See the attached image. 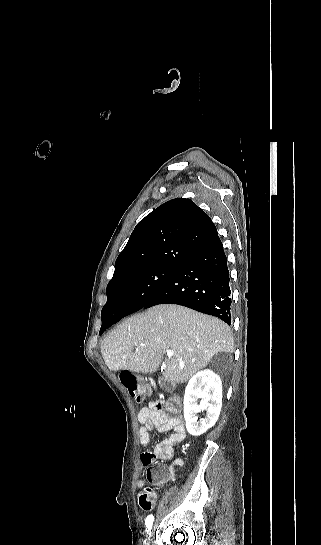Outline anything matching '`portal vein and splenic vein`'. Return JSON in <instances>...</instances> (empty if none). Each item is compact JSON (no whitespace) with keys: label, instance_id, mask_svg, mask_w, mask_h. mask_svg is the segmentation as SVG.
Here are the masks:
<instances>
[{"label":"portal vein and splenic vein","instance_id":"portal-vein-and-splenic-vein-1","mask_svg":"<svg viewBox=\"0 0 321 545\" xmlns=\"http://www.w3.org/2000/svg\"><path fill=\"white\" fill-rule=\"evenodd\" d=\"M167 353V357H169V359H171V357H173V351H166ZM178 361H184V359H178ZM185 361H187V359H185ZM192 361H195V359H192Z\"/></svg>","mask_w":321,"mask_h":545}]
</instances>
